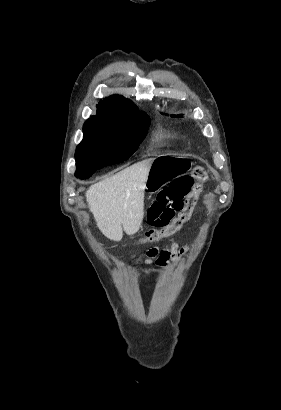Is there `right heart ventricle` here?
<instances>
[{
	"label": "right heart ventricle",
	"instance_id": "right-heart-ventricle-1",
	"mask_svg": "<svg viewBox=\"0 0 281 410\" xmlns=\"http://www.w3.org/2000/svg\"><path fill=\"white\" fill-rule=\"evenodd\" d=\"M154 141L162 147H172L175 145V142L170 140L163 131L156 133Z\"/></svg>",
	"mask_w": 281,
	"mask_h": 410
}]
</instances>
